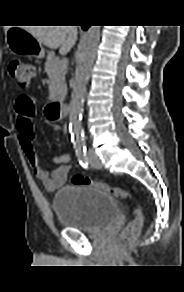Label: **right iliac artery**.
Instances as JSON below:
<instances>
[{
	"instance_id": "right-iliac-artery-1",
	"label": "right iliac artery",
	"mask_w": 184,
	"mask_h": 292,
	"mask_svg": "<svg viewBox=\"0 0 184 292\" xmlns=\"http://www.w3.org/2000/svg\"><path fill=\"white\" fill-rule=\"evenodd\" d=\"M76 155L78 157L79 163L84 167H88V159H87V151L86 148H77L76 149Z\"/></svg>"
}]
</instances>
